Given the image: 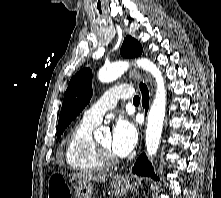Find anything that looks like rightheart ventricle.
<instances>
[{"label":"right heart ventricle","instance_id":"obj_1","mask_svg":"<svg viewBox=\"0 0 221 198\" xmlns=\"http://www.w3.org/2000/svg\"><path fill=\"white\" fill-rule=\"evenodd\" d=\"M97 124L82 120L70 132L65 144L69 167L79 171H99L104 164L99 157L92 133Z\"/></svg>","mask_w":221,"mask_h":198}]
</instances>
